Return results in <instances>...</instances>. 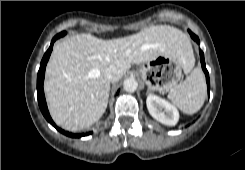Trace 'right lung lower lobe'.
Wrapping results in <instances>:
<instances>
[{"label": "right lung lower lobe", "instance_id": "obj_1", "mask_svg": "<svg viewBox=\"0 0 245 170\" xmlns=\"http://www.w3.org/2000/svg\"><path fill=\"white\" fill-rule=\"evenodd\" d=\"M60 38L59 37V34L56 35L52 42H51V45L49 47V49L47 50V52L44 54L43 56V59L41 61V64H40V69L38 71V76H37V95H38V104H39V107H40V110L42 112V114L44 115V117L46 118V120L51 124L53 125L57 130H59L61 133L69 136V137H82V136H85V135H88L90 133H85V134H73V133H69L67 131H64L62 129H59L55 124L54 122L52 121L51 117H50V114L48 112V108H47V105H46V100H45V96H44V91H43V81H44V75H45V67H46V64L48 62V59L50 57V54L52 52V48H53V43L56 39Z\"/></svg>", "mask_w": 245, "mask_h": 170}]
</instances>
